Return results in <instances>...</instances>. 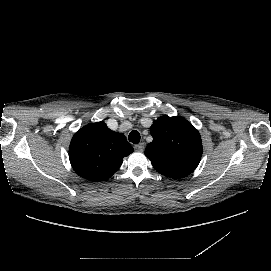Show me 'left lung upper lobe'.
Listing matches in <instances>:
<instances>
[{
  "mask_svg": "<svg viewBox=\"0 0 271 271\" xmlns=\"http://www.w3.org/2000/svg\"><path fill=\"white\" fill-rule=\"evenodd\" d=\"M153 141L145 155L160 174L180 179L198 166L202 156L199 132L182 117L161 116L150 127Z\"/></svg>",
  "mask_w": 271,
  "mask_h": 271,
  "instance_id": "left-lung-upper-lobe-1",
  "label": "left lung upper lobe"
}]
</instances>
